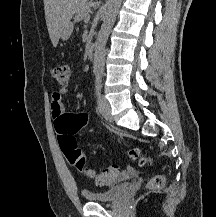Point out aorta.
I'll use <instances>...</instances> for the list:
<instances>
[{"label": "aorta", "instance_id": "1", "mask_svg": "<svg viewBox=\"0 0 216 217\" xmlns=\"http://www.w3.org/2000/svg\"><path fill=\"white\" fill-rule=\"evenodd\" d=\"M122 0H108V8L95 42L93 73L102 77L105 69V47Z\"/></svg>", "mask_w": 216, "mask_h": 217}]
</instances>
